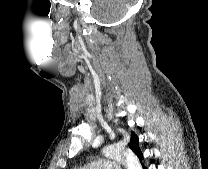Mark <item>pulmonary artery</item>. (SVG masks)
<instances>
[{
    "mask_svg": "<svg viewBox=\"0 0 208 169\" xmlns=\"http://www.w3.org/2000/svg\"><path fill=\"white\" fill-rule=\"evenodd\" d=\"M78 169H121V166L118 164L117 160L112 158H100Z\"/></svg>",
    "mask_w": 208,
    "mask_h": 169,
    "instance_id": "1",
    "label": "pulmonary artery"
}]
</instances>
